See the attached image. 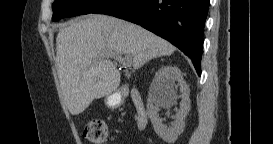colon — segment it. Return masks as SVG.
Returning <instances> with one entry per match:
<instances>
[{"label":"colon","mask_w":273,"mask_h":144,"mask_svg":"<svg viewBox=\"0 0 273 144\" xmlns=\"http://www.w3.org/2000/svg\"><path fill=\"white\" fill-rule=\"evenodd\" d=\"M84 137L91 143L104 144L108 141V129L101 119L88 121L83 129Z\"/></svg>","instance_id":"5ec220e1"}]
</instances>
